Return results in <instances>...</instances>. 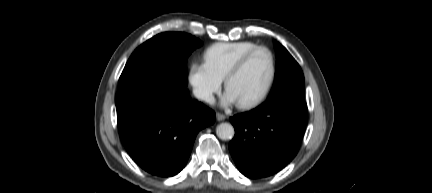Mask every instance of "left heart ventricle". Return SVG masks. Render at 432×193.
I'll use <instances>...</instances> for the list:
<instances>
[{"label": "left heart ventricle", "instance_id": "b2bd125f", "mask_svg": "<svg viewBox=\"0 0 432 193\" xmlns=\"http://www.w3.org/2000/svg\"><path fill=\"white\" fill-rule=\"evenodd\" d=\"M271 73V59L268 52H256L231 80L228 92L237 103L256 98L267 85Z\"/></svg>", "mask_w": 432, "mask_h": 193}]
</instances>
